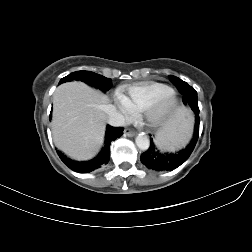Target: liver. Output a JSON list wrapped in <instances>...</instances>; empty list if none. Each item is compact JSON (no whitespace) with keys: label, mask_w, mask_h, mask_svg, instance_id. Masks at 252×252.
Returning <instances> with one entry per match:
<instances>
[{"label":"liver","mask_w":252,"mask_h":252,"mask_svg":"<svg viewBox=\"0 0 252 252\" xmlns=\"http://www.w3.org/2000/svg\"><path fill=\"white\" fill-rule=\"evenodd\" d=\"M108 103V96L84 83L60 85L53 94L52 134L57 148L77 160L94 157L103 144Z\"/></svg>","instance_id":"obj_1"}]
</instances>
